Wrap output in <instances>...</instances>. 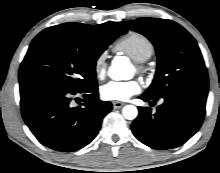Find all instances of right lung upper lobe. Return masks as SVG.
I'll return each mask as SVG.
<instances>
[{"mask_svg": "<svg viewBox=\"0 0 220 173\" xmlns=\"http://www.w3.org/2000/svg\"><path fill=\"white\" fill-rule=\"evenodd\" d=\"M71 27H81L85 31L91 33L96 39L100 40L105 37L117 38L118 36L127 32V30L119 23L109 22L100 25H86L80 23H65L49 27V30L65 29Z\"/></svg>", "mask_w": 220, "mask_h": 173, "instance_id": "right-lung-upper-lobe-1", "label": "right lung upper lobe"}]
</instances>
